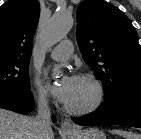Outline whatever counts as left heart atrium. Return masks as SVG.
<instances>
[{"label":"left heart atrium","instance_id":"left-heart-atrium-1","mask_svg":"<svg viewBox=\"0 0 141 139\" xmlns=\"http://www.w3.org/2000/svg\"><path fill=\"white\" fill-rule=\"evenodd\" d=\"M74 77L64 75L55 82L49 84L52 94L61 102L66 103L69 99Z\"/></svg>","mask_w":141,"mask_h":139}]
</instances>
